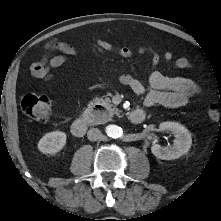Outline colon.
<instances>
[{"label":"colon","instance_id":"5ec220e1","mask_svg":"<svg viewBox=\"0 0 221 221\" xmlns=\"http://www.w3.org/2000/svg\"><path fill=\"white\" fill-rule=\"evenodd\" d=\"M98 48L104 49L100 43ZM21 107L29 118L38 123L47 122L52 111L51 102L46 96L33 93H26L22 96ZM207 115L210 122L221 124V114L215 102L209 105Z\"/></svg>","mask_w":221,"mask_h":221}]
</instances>
